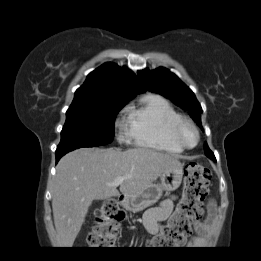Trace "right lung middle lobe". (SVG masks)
Here are the masks:
<instances>
[{"label": "right lung middle lobe", "instance_id": "dd1d6c3e", "mask_svg": "<svg viewBox=\"0 0 261 261\" xmlns=\"http://www.w3.org/2000/svg\"><path fill=\"white\" fill-rule=\"evenodd\" d=\"M129 100L113 96L74 99L66 112L57 150L111 143L115 117Z\"/></svg>", "mask_w": 261, "mask_h": 261}]
</instances>
